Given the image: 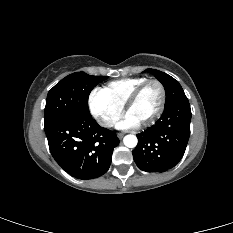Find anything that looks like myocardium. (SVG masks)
<instances>
[{
	"label": "myocardium",
	"instance_id": "obj_1",
	"mask_svg": "<svg viewBox=\"0 0 233 233\" xmlns=\"http://www.w3.org/2000/svg\"><path fill=\"white\" fill-rule=\"evenodd\" d=\"M150 84H156L159 87L160 92H161V101H160L159 107L156 110V112L147 120L139 123L140 126L142 127H147V126L152 125L163 113L165 104H166L165 86L157 79H148L134 89V91L130 94V96L128 97L124 105L125 112L128 113L129 109L136 102V100L138 99L142 91Z\"/></svg>",
	"mask_w": 233,
	"mask_h": 233
}]
</instances>
